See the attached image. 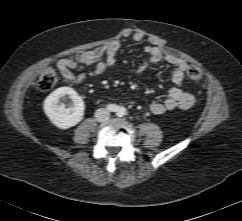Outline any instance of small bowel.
Listing matches in <instances>:
<instances>
[{
    "label": "small bowel",
    "instance_id": "obj_1",
    "mask_svg": "<svg viewBox=\"0 0 242 221\" xmlns=\"http://www.w3.org/2000/svg\"><path fill=\"white\" fill-rule=\"evenodd\" d=\"M122 37L132 39L135 42H141L145 38V35L141 31L125 29L122 32ZM120 48L121 39H113L100 47L81 53L77 59L62 58L57 61L56 65L61 76L66 81L74 84L82 83L104 76L116 64V55ZM144 51L148 54V58L137 67L135 74L140 75L150 65L159 62H166L174 69L172 74L174 86L167 90L166 98L162 102L156 101L151 103L150 111L155 115H162L175 109L186 110L191 108L195 103L194 95L180 88L188 66L187 62L177 56L165 53L154 43L145 45ZM80 64H93L94 67L89 71L75 73L74 70Z\"/></svg>",
    "mask_w": 242,
    "mask_h": 221
}]
</instances>
